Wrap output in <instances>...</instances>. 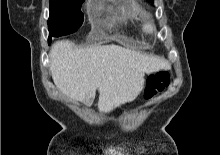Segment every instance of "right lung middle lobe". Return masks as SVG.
Wrapping results in <instances>:
<instances>
[{
  "label": "right lung middle lobe",
  "instance_id": "dd1d6c3e",
  "mask_svg": "<svg viewBox=\"0 0 220 155\" xmlns=\"http://www.w3.org/2000/svg\"><path fill=\"white\" fill-rule=\"evenodd\" d=\"M84 0H50L48 19L49 38L68 35L75 32L83 23L81 5Z\"/></svg>",
  "mask_w": 220,
  "mask_h": 155
}]
</instances>
